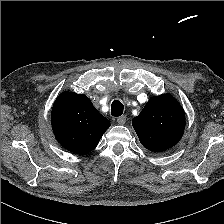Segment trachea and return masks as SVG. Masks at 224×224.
<instances>
[{"label":"trachea","instance_id":"trachea-1","mask_svg":"<svg viewBox=\"0 0 224 224\" xmlns=\"http://www.w3.org/2000/svg\"><path fill=\"white\" fill-rule=\"evenodd\" d=\"M123 104L119 100H114L111 104V114L114 117L121 116L123 114Z\"/></svg>","mask_w":224,"mask_h":224}]
</instances>
